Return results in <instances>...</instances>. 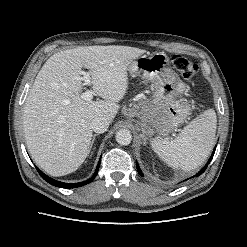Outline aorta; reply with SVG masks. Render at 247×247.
<instances>
[{
	"label": "aorta",
	"mask_w": 247,
	"mask_h": 247,
	"mask_svg": "<svg viewBox=\"0 0 247 247\" xmlns=\"http://www.w3.org/2000/svg\"><path fill=\"white\" fill-rule=\"evenodd\" d=\"M116 141L119 145L126 146L129 145L132 141V134L127 129H121L117 131L115 135Z\"/></svg>",
	"instance_id": "aorta-1"
}]
</instances>
